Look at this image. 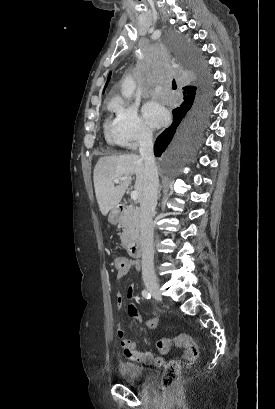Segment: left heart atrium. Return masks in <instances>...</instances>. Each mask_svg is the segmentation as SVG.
Masks as SVG:
<instances>
[{"label": "left heart atrium", "instance_id": "39dd6f15", "mask_svg": "<svg viewBox=\"0 0 275 409\" xmlns=\"http://www.w3.org/2000/svg\"><path fill=\"white\" fill-rule=\"evenodd\" d=\"M144 113L148 120L155 126H163L169 120L167 111L158 103H147L144 107Z\"/></svg>", "mask_w": 275, "mask_h": 409}]
</instances>
